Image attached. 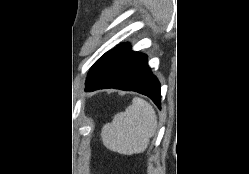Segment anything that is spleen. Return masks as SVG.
Wrapping results in <instances>:
<instances>
[{
	"label": "spleen",
	"instance_id": "1",
	"mask_svg": "<svg viewBox=\"0 0 249 174\" xmlns=\"http://www.w3.org/2000/svg\"><path fill=\"white\" fill-rule=\"evenodd\" d=\"M157 127L153 107L144 99L134 97L124 112L114 115L111 123L103 126L101 136L106 148L124 155L142 153Z\"/></svg>",
	"mask_w": 249,
	"mask_h": 174
}]
</instances>
